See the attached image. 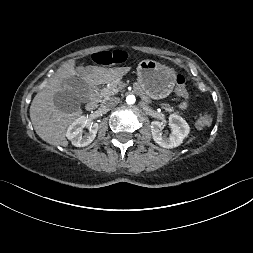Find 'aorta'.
Returning <instances> with one entry per match:
<instances>
[{
  "mask_svg": "<svg viewBox=\"0 0 253 253\" xmlns=\"http://www.w3.org/2000/svg\"><path fill=\"white\" fill-rule=\"evenodd\" d=\"M135 101H136V98H135V96L134 95H128L127 97H126V102H127V104H134L135 103Z\"/></svg>",
  "mask_w": 253,
  "mask_h": 253,
  "instance_id": "1",
  "label": "aorta"
}]
</instances>
